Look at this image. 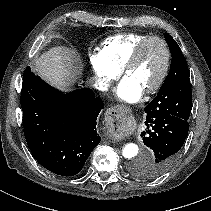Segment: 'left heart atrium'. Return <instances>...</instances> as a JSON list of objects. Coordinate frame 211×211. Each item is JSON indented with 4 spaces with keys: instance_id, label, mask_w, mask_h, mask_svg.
Listing matches in <instances>:
<instances>
[{
    "instance_id": "39dd6f15",
    "label": "left heart atrium",
    "mask_w": 211,
    "mask_h": 211,
    "mask_svg": "<svg viewBox=\"0 0 211 211\" xmlns=\"http://www.w3.org/2000/svg\"><path fill=\"white\" fill-rule=\"evenodd\" d=\"M144 93L140 85L131 77H124L116 89V96L125 102L133 103L138 101Z\"/></svg>"
}]
</instances>
